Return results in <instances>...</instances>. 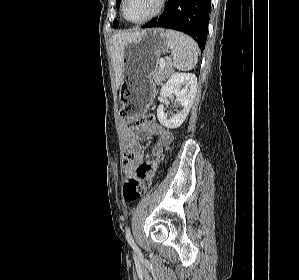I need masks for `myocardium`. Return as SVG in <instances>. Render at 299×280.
<instances>
[{"label":"myocardium","mask_w":299,"mask_h":280,"mask_svg":"<svg viewBox=\"0 0 299 280\" xmlns=\"http://www.w3.org/2000/svg\"><path fill=\"white\" fill-rule=\"evenodd\" d=\"M126 3H127V0L122 1V16H123V18L132 24H144V23L151 21L152 19H154L161 13V11L163 10V8L165 6L166 0H157V5H156L155 9L153 10V12L151 14H149L147 17H145L141 20H136V21H133V20H130L127 18L126 13H125Z\"/></svg>","instance_id":"myocardium-1"}]
</instances>
